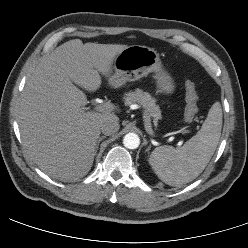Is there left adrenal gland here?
I'll use <instances>...</instances> for the list:
<instances>
[{
    "instance_id": "1",
    "label": "left adrenal gland",
    "mask_w": 248,
    "mask_h": 248,
    "mask_svg": "<svg viewBox=\"0 0 248 248\" xmlns=\"http://www.w3.org/2000/svg\"><path fill=\"white\" fill-rule=\"evenodd\" d=\"M150 148H151V146H149V147L146 149V151H149V150H150Z\"/></svg>"
}]
</instances>
